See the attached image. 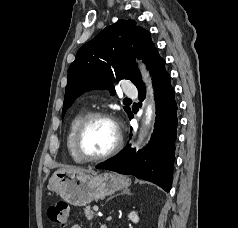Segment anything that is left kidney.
I'll return each instance as SVG.
<instances>
[{
    "mask_svg": "<svg viewBox=\"0 0 238 228\" xmlns=\"http://www.w3.org/2000/svg\"><path fill=\"white\" fill-rule=\"evenodd\" d=\"M129 220H131L133 223H138L139 222V217L135 211H132L128 215Z\"/></svg>",
    "mask_w": 238,
    "mask_h": 228,
    "instance_id": "left-kidney-1",
    "label": "left kidney"
}]
</instances>
